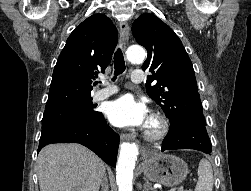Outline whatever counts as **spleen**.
Listing matches in <instances>:
<instances>
[{"instance_id":"spleen-1","label":"spleen","mask_w":251,"mask_h":191,"mask_svg":"<svg viewBox=\"0 0 251 191\" xmlns=\"http://www.w3.org/2000/svg\"><path fill=\"white\" fill-rule=\"evenodd\" d=\"M198 175L195 191H212L214 183L213 169L210 161H208L206 157H203V159L199 161Z\"/></svg>"}]
</instances>
